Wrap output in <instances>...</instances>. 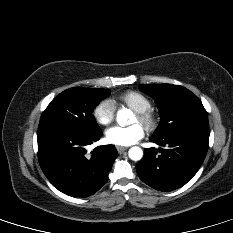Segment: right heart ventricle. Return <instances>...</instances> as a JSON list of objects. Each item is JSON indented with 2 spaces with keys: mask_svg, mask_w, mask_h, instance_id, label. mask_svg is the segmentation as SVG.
<instances>
[{
  "mask_svg": "<svg viewBox=\"0 0 233 233\" xmlns=\"http://www.w3.org/2000/svg\"><path fill=\"white\" fill-rule=\"evenodd\" d=\"M119 100L135 112L149 110L152 106L151 100L138 91H127L119 96Z\"/></svg>",
  "mask_w": 233,
  "mask_h": 233,
  "instance_id": "obj_1",
  "label": "right heart ventricle"
}]
</instances>
